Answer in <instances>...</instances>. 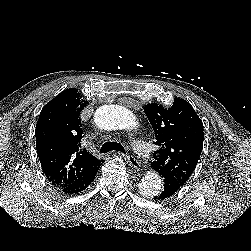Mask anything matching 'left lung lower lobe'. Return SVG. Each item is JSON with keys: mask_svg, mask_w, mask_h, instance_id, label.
I'll return each instance as SVG.
<instances>
[{"mask_svg": "<svg viewBox=\"0 0 251 251\" xmlns=\"http://www.w3.org/2000/svg\"><path fill=\"white\" fill-rule=\"evenodd\" d=\"M153 169L156 170L155 168H153ZM156 171L158 172V170H156ZM162 178L164 180V185H163L161 191L158 193V195H156L154 197V199L158 200V201L165 200V199L171 197L180 189V187H182L179 182H177L173 177H171L169 175L164 174L162 176Z\"/></svg>", "mask_w": 251, "mask_h": 251, "instance_id": "0a47b994", "label": "left lung lower lobe"}]
</instances>
